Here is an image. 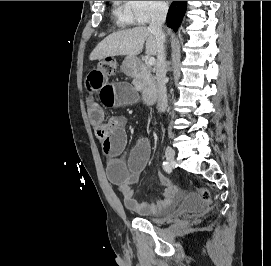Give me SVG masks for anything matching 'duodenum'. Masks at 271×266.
<instances>
[{
  "label": "duodenum",
  "instance_id": "obj_1",
  "mask_svg": "<svg viewBox=\"0 0 271 266\" xmlns=\"http://www.w3.org/2000/svg\"><path fill=\"white\" fill-rule=\"evenodd\" d=\"M127 72H129L134 77H144L147 75V72L144 69L142 63L137 59L129 61ZM157 96H158L157 84H151L147 86L143 91V99L145 104L147 105L155 103Z\"/></svg>",
  "mask_w": 271,
  "mask_h": 266
}]
</instances>
